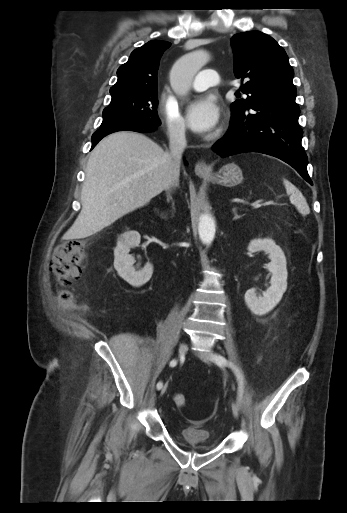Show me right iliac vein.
Masks as SVG:
<instances>
[{"label": "right iliac vein", "mask_w": 347, "mask_h": 513, "mask_svg": "<svg viewBox=\"0 0 347 513\" xmlns=\"http://www.w3.org/2000/svg\"><path fill=\"white\" fill-rule=\"evenodd\" d=\"M186 351H187V344L183 342V343L180 345V347H179V356H184V354L186 353ZM166 390H167V385H165L164 387H162L160 394H161V395L165 394Z\"/></svg>", "instance_id": "63e3f726"}]
</instances>
